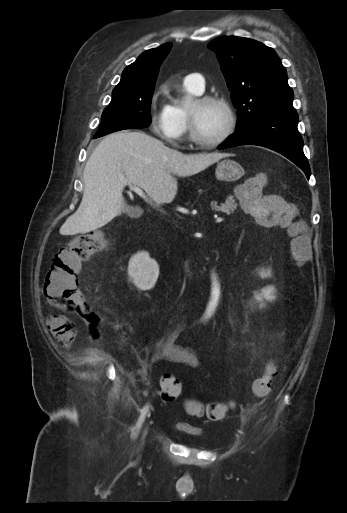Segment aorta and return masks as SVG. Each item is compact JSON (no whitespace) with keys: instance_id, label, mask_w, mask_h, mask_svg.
I'll use <instances>...</instances> for the list:
<instances>
[{"instance_id":"obj_1","label":"aorta","mask_w":347,"mask_h":513,"mask_svg":"<svg viewBox=\"0 0 347 513\" xmlns=\"http://www.w3.org/2000/svg\"><path fill=\"white\" fill-rule=\"evenodd\" d=\"M214 291H216L217 293H219V287H218L217 282H214Z\"/></svg>"}]
</instances>
